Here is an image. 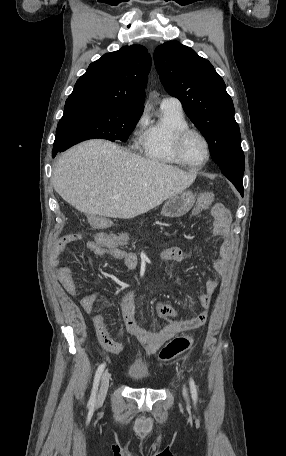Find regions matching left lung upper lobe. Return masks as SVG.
I'll return each instance as SVG.
<instances>
[{"instance_id":"5c2ea615","label":"left lung upper lobe","mask_w":286,"mask_h":456,"mask_svg":"<svg viewBox=\"0 0 286 456\" xmlns=\"http://www.w3.org/2000/svg\"><path fill=\"white\" fill-rule=\"evenodd\" d=\"M154 62L164 88L181 101L222 173L243 174L244 153L233 101L211 63L177 41L159 45Z\"/></svg>"}]
</instances>
